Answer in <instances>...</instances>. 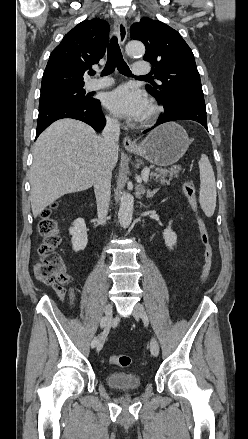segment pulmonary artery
<instances>
[{
	"label": "pulmonary artery",
	"instance_id": "obj_1",
	"mask_svg": "<svg viewBox=\"0 0 248 439\" xmlns=\"http://www.w3.org/2000/svg\"><path fill=\"white\" fill-rule=\"evenodd\" d=\"M150 72V67L148 62L145 61H139L134 64L133 73L136 76H144L147 75ZM113 84V81L109 78H103V79H93L88 82V89L89 90H97V89H103L111 86Z\"/></svg>",
	"mask_w": 248,
	"mask_h": 439
}]
</instances>
